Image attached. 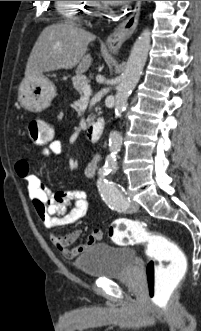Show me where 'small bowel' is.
Returning a JSON list of instances; mask_svg holds the SVG:
<instances>
[{"label": "small bowel", "mask_w": 201, "mask_h": 331, "mask_svg": "<svg viewBox=\"0 0 201 331\" xmlns=\"http://www.w3.org/2000/svg\"><path fill=\"white\" fill-rule=\"evenodd\" d=\"M44 156H60L64 154L61 141L53 140L42 150ZM99 155L87 164L85 175L92 177L95 174ZM16 173L25 182L29 197L35 207L38 217L48 229L71 225L82 219L88 209L86 194L81 189H67L55 193L44 185L41 180L30 172L29 162L25 159L17 161ZM81 235L80 230H74L65 235L52 234L51 241L61 255L67 259H74L89 249L96 242L102 240L101 231H93L84 243L71 247Z\"/></svg>", "instance_id": "obj_1"}]
</instances>
